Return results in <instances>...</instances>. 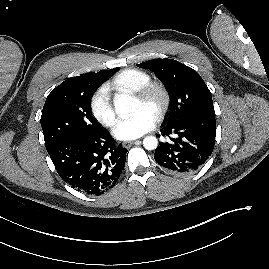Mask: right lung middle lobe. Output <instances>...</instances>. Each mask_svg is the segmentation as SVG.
<instances>
[{
	"instance_id": "obj_1",
	"label": "right lung middle lobe",
	"mask_w": 269,
	"mask_h": 269,
	"mask_svg": "<svg viewBox=\"0 0 269 269\" xmlns=\"http://www.w3.org/2000/svg\"><path fill=\"white\" fill-rule=\"evenodd\" d=\"M120 68L87 81L60 84L48 95L41 116L45 147L51 151L60 142L86 137L103 128L92 116L90 102L96 89Z\"/></svg>"
}]
</instances>
